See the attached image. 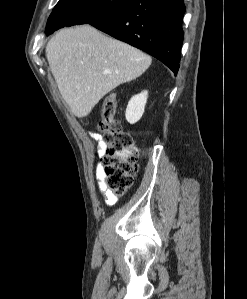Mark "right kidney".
I'll return each mask as SVG.
<instances>
[{
  "label": "right kidney",
  "instance_id": "ca27d5eb",
  "mask_svg": "<svg viewBox=\"0 0 247 299\" xmlns=\"http://www.w3.org/2000/svg\"><path fill=\"white\" fill-rule=\"evenodd\" d=\"M148 91H143L140 94L133 96L128 102L126 109V120L130 124L137 123L142 117L147 102Z\"/></svg>",
  "mask_w": 247,
  "mask_h": 299
}]
</instances>
